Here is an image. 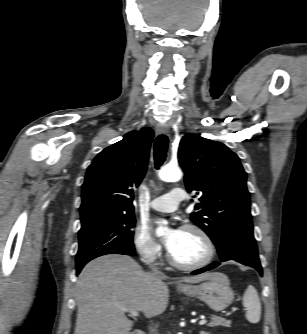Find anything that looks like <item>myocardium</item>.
I'll return each mask as SVG.
<instances>
[{
  "instance_id": "1",
  "label": "myocardium",
  "mask_w": 307,
  "mask_h": 334,
  "mask_svg": "<svg viewBox=\"0 0 307 334\" xmlns=\"http://www.w3.org/2000/svg\"><path fill=\"white\" fill-rule=\"evenodd\" d=\"M182 230L183 231H193L196 232L204 241L205 246H206V255L205 257L196 262V263H191V264H185V263H181L179 262L170 251H168V261L169 263L181 270H187V271H191V270H197L200 268H203L205 266H207L214 258L215 256V245L214 242L212 240V238L209 236V234L200 226L195 225V224H185L182 226Z\"/></svg>"
}]
</instances>
